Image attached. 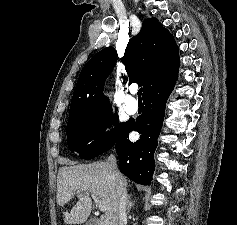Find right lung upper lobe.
Segmentation results:
<instances>
[{
  "mask_svg": "<svg viewBox=\"0 0 237 225\" xmlns=\"http://www.w3.org/2000/svg\"><path fill=\"white\" fill-rule=\"evenodd\" d=\"M178 51L173 35L158 19L144 20L140 32L129 40L121 59L129 84L143 86L145 96L156 86L177 79ZM116 60L115 49L107 47L86 63L73 93L70 112L93 116L111 109L108 98L103 95V86Z\"/></svg>",
  "mask_w": 237,
  "mask_h": 225,
  "instance_id": "right-lung-upper-lobe-1",
  "label": "right lung upper lobe"
}]
</instances>
